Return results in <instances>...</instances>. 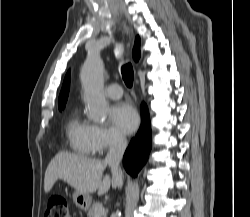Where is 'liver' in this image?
<instances>
[{
  "mask_svg": "<svg viewBox=\"0 0 250 217\" xmlns=\"http://www.w3.org/2000/svg\"><path fill=\"white\" fill-rule=\"evenodd\" d=\"M107 164L104 161L60 152L49 163L44 177V191L48 193L57 180H63L80 193L98 192L101 196L118 186L112 174L103 177Z\"/></svg>",
  "mask_w": 250,
  "mask_h": 217,
  "instance_id": "6515ba94",
  "label": "liver"
}]
</instances>
